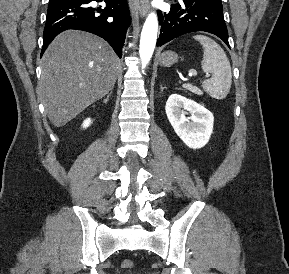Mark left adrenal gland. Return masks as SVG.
<instances>
[{"label": "left adrenal gland", "mask_w": 289, "mask_h": 274, "mask_svg": "<svg viewBox=\"0 0 289 274\" xmlns=\"http://www.w3.org/2000/svg\"><path fill=\"white\" fill-rule=\"evenodd\" d=\"M160 88H161V92L165 89V87H162V86Z\"/></svg>", "instance_id": "1"}]
</instances>
